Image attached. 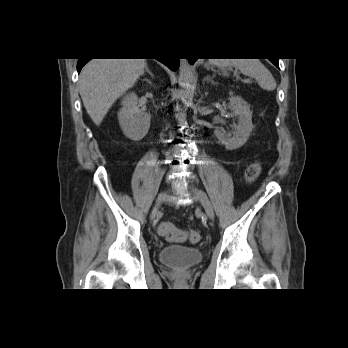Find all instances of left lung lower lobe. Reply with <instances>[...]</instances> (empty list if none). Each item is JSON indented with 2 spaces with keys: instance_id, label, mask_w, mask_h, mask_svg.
Returning a JSON list of instances; mask_svg holds the SVG:
<instances>
[{
  "instance_id": "0a47b994",
  "label": "left lung lower lobe",
  "mask_w": 348,
  "mask_h": 348,
  "mask_svg": "<svg viewBox=\"0 0 348 348\" xmlns=\"http://www.w3.org/2000/svg\"><path fill=\"white\" fill-rule=\"evenodd\" d=\"M196 61V59H190V63L193 64L194 62ZM271 62L277 67L279 68V65H278V59H275V60H271Z\"/></svg>"
}]
</instances>
